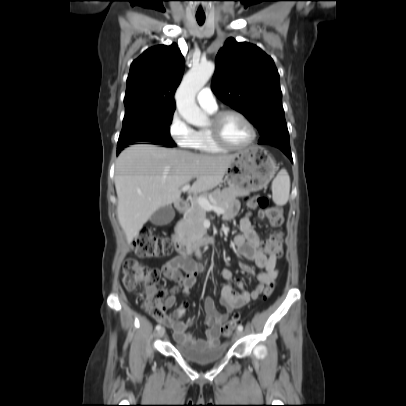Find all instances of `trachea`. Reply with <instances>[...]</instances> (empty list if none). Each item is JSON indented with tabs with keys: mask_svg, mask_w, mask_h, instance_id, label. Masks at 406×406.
<instances>
[{
	"mask_svg": "<svg viewBox=\"0 0 406 406\" xmlns=\"http://www.w3.org/2000/svg\"><path fill=\"white\" fill-rule=\"evenodd\" d=\"M196 20H197V22H198L199 25H203V23H204V21H205V18H199V17H197Z\"/></svg>",
	"mask_w": 406,
	"mask_h": 406,
	"instance_id": "trachea-1",
	"label": "trachea"
}]
</instances>
